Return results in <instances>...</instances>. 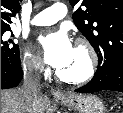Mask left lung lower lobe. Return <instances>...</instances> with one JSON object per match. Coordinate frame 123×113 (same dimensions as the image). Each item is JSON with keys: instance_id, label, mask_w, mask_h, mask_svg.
<instances>
[{"instance_id": "left-lung-lower-lobe-1", "label": "left lung lower lobe", "mask_w": 123, "mask_h": 113, "mask_svg": "<svg viewBox=\"0 0 123 113\" xmlns=\"http://www.w3.org/2000/svg\"><path fill=\"white\" fill-rule=\"evenodd\" d=\"M102 90H112L123 92V60L114 63L110 74L96 71L93 79L78 89L79 93H94Z\"/></svg>"}]
</instances>
